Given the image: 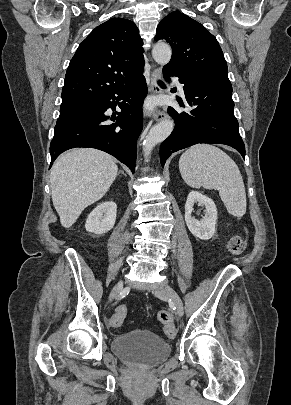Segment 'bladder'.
Masks as SVG:
<instances>
[{
    "instance_id": "31cf9c89",
    "label": "bladder",
    "mask_w": 291,
    "mask_h": 405,
    "mask_svg": "<svg viewBox=\"0 0 291 405\" xmlns=\"http://www.w3.org/2000/svg\"><path fill=\"white\" fill-rule=\"evenodd\" d=\"M111 349L121 361L142 367L156 366L171 353L170 343L147 329H135L116 336Z\"/></svg>"
}]
</instances>
